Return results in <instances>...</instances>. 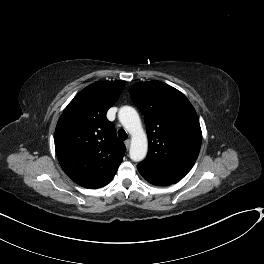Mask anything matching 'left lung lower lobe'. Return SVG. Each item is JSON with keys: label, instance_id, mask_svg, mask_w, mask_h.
Listing matches in <instances>:
<instances>
[{"label": "left lung lower lobe", "instance_id": "left-lung-lower-lobe-1", "mask_svg": "<svg viewBox=\"0 0 264 264\" xmlns=\"http://www.w3.org/2000/svg\"><path fill=\"white\" fill-rule=\"evenodd\" d=\"M140 174L143 176V178L148 181L149 183L153 184V185H158V186H167L172 184V182H168V181H164V180H160V179H156L153 178L151 176H149L148 174L139 171Z\"/></svg>", "mask_w": 264, "mask_h": 264}]
</instances>
